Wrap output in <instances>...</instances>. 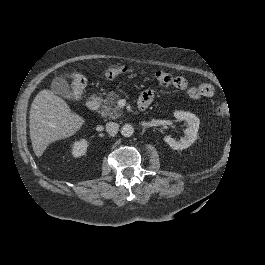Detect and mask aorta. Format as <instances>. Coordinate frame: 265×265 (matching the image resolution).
Here are the masks:
<instances>
[{"mask_svg": "<svg viewBox=\"0 0 265 265\" xmlns=\"http://www.w3.org/2000/svg\"><path fill=\"white\" fill-rule=\"evenodd\" d=\"M134 133V128L131 124H124L121 128V134L124 137H130Z\"/></svg>", "mask_w": 265, "mask_h": 265, "instance_id": "aorta-1", "label": "aorta"}]
</instances>
